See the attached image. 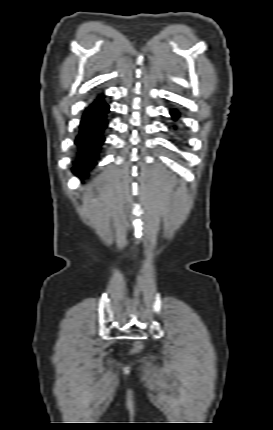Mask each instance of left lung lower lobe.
Listing matches in <instances>:
<instances>
[{"mask_svg": "<svg viewBox=\"0 0 273 430\" xmlns=\"http://www.w3.org/2000/svg\"><path fill=\"white\" fill-rule=\"evenodd\" d=\"M170 114L172 115V117L174 118V120H176L177 118H179V113L177 112V110H172L170 112Z\"/></svg>", "mask_w": 273, "mask_h": 430, "instance_id": "0a47b994", "label": "left lung lower lobe"}]
</instances>
